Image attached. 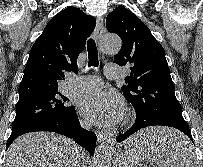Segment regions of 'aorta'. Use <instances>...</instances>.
<instances>
[{
	"mask_svg": "<svg viewBox=\"0 0 203 167\" xmlns=\"http://www.w3.org/2000/svg\"><path fill=\"white\" fill-rule=\"evenodd\" d=\"M122 46L121 39L114 34L105 35L100 42V50L103 54L113 55L120 51ZM115 138H107L97 148L94 159L93 167H111V161L115 152Z\"/></svg>",
	"mask_w": 203,
	"mask_h": 167,
	"instance_id": "aorta-1",
	"label": "aorta"
}]
</instances>
